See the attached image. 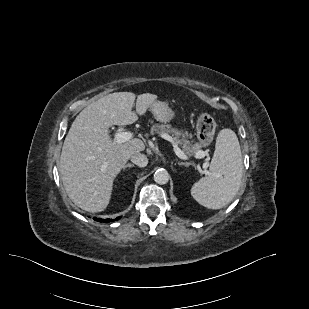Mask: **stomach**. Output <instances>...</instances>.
<instances>
[{"label":"stomach","mask_w":309,"mask_h":309,"mask_svg":"<svg viewBox=\"0 0 309 309\" xmlns=\"http://www.w3.org/2000/svg\"><path fill=\"white\" fill-rule=\"evenodd\" d=\"M150 110L159 122L166 123L173 120L176 116L175 111H173L167 103L156 101L150 106Z\"/></svg>","instance_id":"1"}]
</instances>
